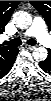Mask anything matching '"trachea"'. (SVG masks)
<instances>
[{"mask_svg": "<svg viewBox=\"0 0 51 101\" xmlns=\"http://www.w3.org/2000/svg\"><path fill=\"white\" fill-rule=\"evenodd\" d=\"M21 43H22L21 40L17 38V39H13V40L7 42L6 45L16 47V46H20ZM27 44L33 46V45L36 44V42L34 40L30 39V40L27 41Z\"/></svg>", "mask_w": 51, "mask_h": 101, "instance_id": "trachea-1", "label": "trachea"}]
</instances>
